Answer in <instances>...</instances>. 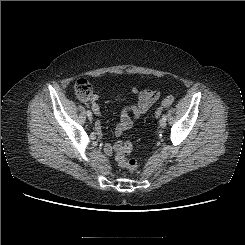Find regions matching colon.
Listing matches in <instances>:
<instances>
[{
	"mask_svg": "<svg viewBox=\"0 0 245 245\" xmlns=\"http://www.w3.org/2000/svg\"><path fill=\"white\" fill-rule=\"evenodd\" d=\"M74 92L79 99L88 100L92 95L91 84L86 79L80 78L74 84ZM173 102V96L165 97L161 101L160 106L155 111V118L157 119L161 115L162 111L170 106ZM132 149L133 146L130 142H120L117 148L116 161L120 167L130 172H136L137 162L134 159L129 158Z\"/></svg>",
	"mask_w": 245,
	"mask_h": 245,
	"instance_id": "obj_1",
	"label": "colon"
}]
</instances>
